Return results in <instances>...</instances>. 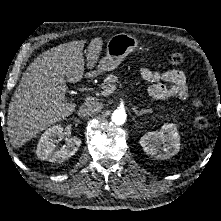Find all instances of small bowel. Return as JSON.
<instances>
[{
    "label": "small bowel",
    "mask_w": 221,
    "mask_h": 221,
    "mask_svg": "<svg viewBox=\"0 0 221 221\" xmlns=\"http://www.w3.org/2000/svg\"><path fill=\"white\" fill-rule=\"evenodd\" d=\"M140 76L143 80L152 83L148 93L154 99L177 97L184 101L188 97V82L181 70L158 72L144 67L140 69Z\"/></svg>",
    "instance_id": "small-bowel-1"
}]
</instances>
